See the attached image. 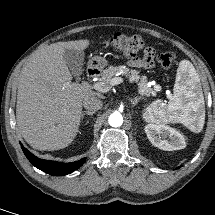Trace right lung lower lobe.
<instances>
[{"label": "right lung lower lobe", "instance_id": "1", "mask_svg": "<svg viewBox=\"0 0 215 215\" xmlns=\"http://www.w3.org/2000/svg\"><path fill=\"white\" fill-rule=\"evenodd\" d=\"M21 148L25 156L35 167L53 176H62L72 173L81 167L86 160V158H83L73 163L64 164L57 161L39 159L30 153L26 148H24L22 144Z\"/></svg>", "mask_w": 215, "mask_h": 215}]
</instances>
